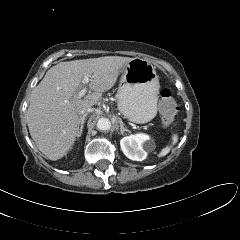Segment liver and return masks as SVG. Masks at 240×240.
Instances as JSON below:
<instances>
[{
    "mask_svg": "<svg viewBox=\"0 0 240 240\" xmlns=\"http://www.w3.org/2000/svg\"><path fill=\"white\" fill-rule=\"evenodd\" d=\"M133 59L105 56L60 62L46 72L33 90L27 125L37 148L47 158L55 161L67 155L79 131V112L94 106ZM86 75L91 78L89 87L94 92L80 98L78 92Z\"/></svg>",
    "mask_w": 240,
    "mask_h": 240,
    "instance_id": "1",
    "label": "liver"
}]
</instances>
